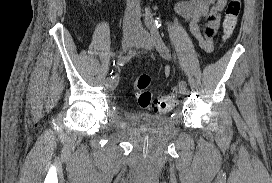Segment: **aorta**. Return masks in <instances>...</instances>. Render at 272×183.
Here are the masks:
<instances>
[{
  "instance_id": "aorta-1",
  "label": "aorta",
  "mask_w": 272,
  "mask_h": 183,
  "mask_svg": "<svg viewBox=\"0 0 272 183\" xmlns=\"http://www.w3.org/2000/svg\"><path fill=\"white\" fill-rule=\"evenodd\" d=\"M144 17H145V21L147 23H150L153 21V17H152V13L150 11V8H146L145 9V14H144Z\"/></svg>"
}]
</instances>
